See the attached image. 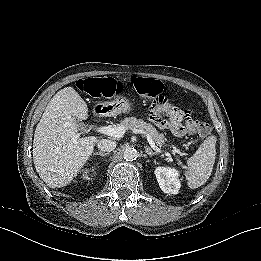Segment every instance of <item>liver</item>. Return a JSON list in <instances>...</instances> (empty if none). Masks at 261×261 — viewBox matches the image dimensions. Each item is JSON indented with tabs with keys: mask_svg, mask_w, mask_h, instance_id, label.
Instances as JSON below:
<instances>
[{
	"mask_svg": "<svg viewBox=\"0 0 261 261\" xmlns=\"http://www.w3.org/2000/svg\"><path fill=\"white\" fill-rule=\"evenodd\" d=\"M87 118V104L73 87L61 89L48 103L33 141L34 165L48 186L68 184L93 153L98 137L78 133V122Z\"/></svg>",
	"mask_w": 261,
	"mask_h": 261,
	"instance_id": "liver-1",
	"label": "liver"
}]
</instances>
